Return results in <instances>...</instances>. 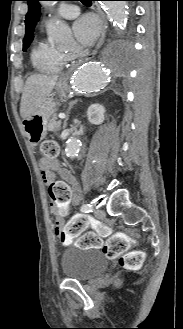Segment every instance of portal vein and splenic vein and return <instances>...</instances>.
Returning <instances> with one entry per match:
<instances>
[{"label":"portal vein and splenic vein","mask_w":183,"mask_h":329,"mask_svg":"<svg viewBox=\"0 0 183 329\" xmlns=\"http://www.w3.org/2000/svg\"><path fill=\"white\" fill-rule=\"evenodd\" d=\"M65 117H66L65 114H63V113H60V114H59V118H60V119H64Z\"/></svg>","instance_id":"1"}]
</instances>
